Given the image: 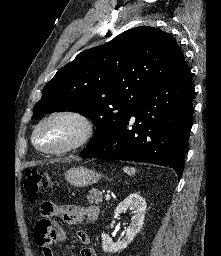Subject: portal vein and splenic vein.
I'll use <instances>...</instances> for the list:
<instances>
[{
  "label": "portal vein and splenic vein",
  "instance_id": "1",
  "mask_svg": "<svg viewBox=\"0 0 221 256\" xmlns=\"http://www.w3.org/2000/svg\"><path fill=\"white\" fill-rule=\"evenodd\" d=\"M105 199H106V200H110V199H111L110 194H106V195H105Z\"/></svg>",
  "mask_w": 221,
  "mask_h": 256
}]
</instances>
